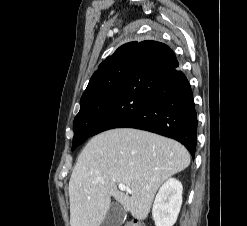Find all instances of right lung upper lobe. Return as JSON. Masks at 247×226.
<instances>
[{"label":"right lung upper lobe","mask_w":247,"mask_h":226,"mask_svg":"<svg viewBox=\"0 0 247 226\" xmlns=\"http://www.w3.org/2000/svg\"><path fill=\"white\" fill-rule=\"evenodd\" d=\"M138 44V42H130V43H126L124 45H122L121 47H119L115 53L111 56V57H107L100 65L98 70H96L94 72V74L92 75L90 82L87 86L90 87L92 85V83L95 81V79L102 73V71L106 68V66L115 58L124 56V55H128L131 56V53L134 49V47ZM86 88V89H87Z\"/></svg>","instance_id":"1"}]
</instances>
